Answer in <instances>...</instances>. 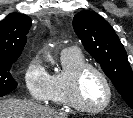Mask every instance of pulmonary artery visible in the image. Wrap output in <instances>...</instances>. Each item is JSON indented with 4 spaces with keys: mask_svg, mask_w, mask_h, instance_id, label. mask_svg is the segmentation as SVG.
I'll return each instance as SVG.
<instances>
[{
    "mask_svg": "<svg viewBox=\"0 0 133 118\" xmlns=\"http://www.w3.org/2000/svg\"><path fill=\"white\" fill-rule=\"evenodd\" d=\"M67 50H77L76 48L73 47H68V48H64L63 51H67Z\"/></svg>",
    "mask_w": 133,
    "mask_h": 118,
    "instance_id": "e3ab8cb5",
    "label": "pulmonary artery"
}]
</instances>
